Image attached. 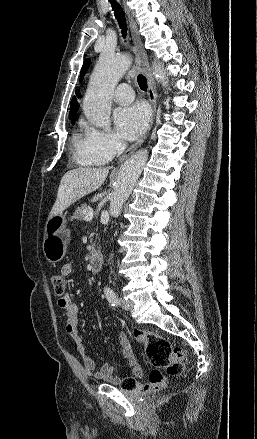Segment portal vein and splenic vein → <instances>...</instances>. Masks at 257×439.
Segmentation results:
<instances>
[{
    "label": "portal vein and splenic vein",
    "instance_id": "portal-vein-and-splenic-vein-1",
    "mask_svg": "<svg viewBox=\"0 0 257 439\" xmlns=\"http://www.w3.org/2000/svg\"><path fill=\"white\" fill-rule=\"evenodd\" d=\"M92 218H93V211L90 210V211H88L87 214L85 215L84 220H85V221H90V220H92Z\"/></svg>",
    "mask_w": 257,
    "mask_h": 439
}]
</instances>
